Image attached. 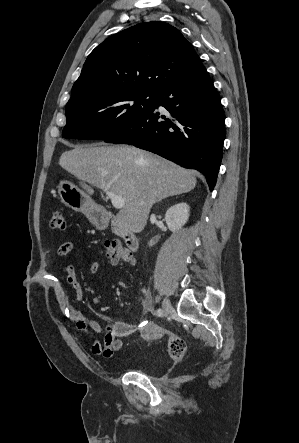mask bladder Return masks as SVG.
<instances>
[{"instance_id": "obj_1", "label": "bladder", "mask_w": 299, "mask_h": 443, "mask_svg": "<svg viewBox=\"0 0 299 443\" xmlns=\"http://www.w3.org/2000/svg\"><path fill=\"white\" fill-rule=\"evenodd\" d=\"M136 370L139 371V372H142L144 374H149V371H150L149 366L148 365H143V364L142 365H138Z\"/></svg>"}]
</instances>
